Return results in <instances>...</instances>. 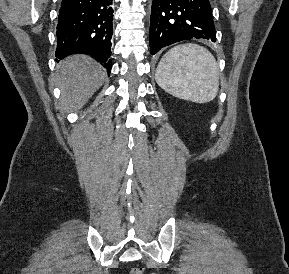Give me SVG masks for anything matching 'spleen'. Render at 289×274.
<instances>
[{
  "label": "spleen",
  "mask_w": 289,
  "mask_h": 274,
  "mask_svg": "<svg viewBox=\"0 0 289 274\" xmlns=\"http://www.w3.org/2000/svg\"><path fill=\"white\" fill-rule=\"evenodd\" d=\"M155 78L167 93L196 103L212 101L219 89V68L214 56L195 44L170 49L160 60Z\"/></svg>",
  "instance_id": "spleen-1"
}]
</instances>
